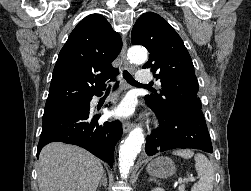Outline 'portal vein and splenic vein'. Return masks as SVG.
<instances>
[{
	"mask_svg": "<svg viewBox=\"0 0 251 191\" xmlns=\"http://www.w3.org/2000/svg\"><path fill=\"white\" fill-rule=\"evenodd\" d=\"M191 179V180H190ZM182 181H185V183H194L196 181L195 177H187V179H178L176 183H182Z\"/></svg>",
	"mask_w": 251,
	"mask_h": 191,
	"instance_id": "18ae733b",
	"label": "portal vein and splenic vein"
}]
</instances>
